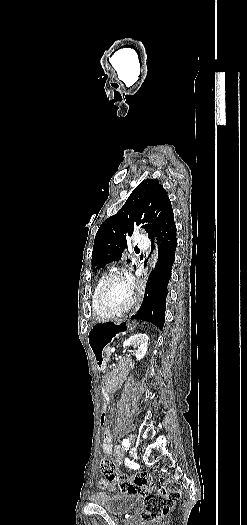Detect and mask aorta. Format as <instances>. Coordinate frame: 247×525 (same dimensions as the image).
<instances>
[{"label":"aorta","instance_id":"1","mask_svg":"<svg viewBox=\"0 0 247 525\" xmlns=\"http://www.w3.org/2000/svg\"><path fill=\"white\" fill-rule=\"evenodd\" d=\"M155 261H156V257H154V262H152V266H154V264H155Z\"/></svg>","mask_w":247,"mask_h":525}]
</instances>
